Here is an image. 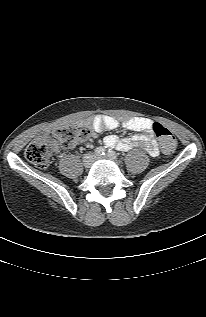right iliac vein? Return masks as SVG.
<instances>
[{"instance_id":"63e3f726","label":"right iliac vein","mask_w":206,"mask_h":317,"mask_svg":"<svg viewBox=\"0 0 206 317\" xmlns=\"http://www.w3.org/2000/svg\"><path fill=\"white\" fill-rule=\"evenodd\" d=\"M93 160H94L93 155H91V154L86 155V156L84 157V160H83L84 166H85L86 168H90L91 165H92V163H93Z\"/></svg>"}]
</instances>
